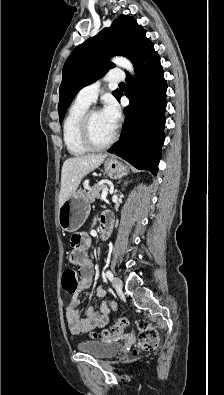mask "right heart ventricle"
I'll return each mask as SVG.
<instances>
[{"instance_id": "obj_1", "label": "right heart ventricle", "mask_w": 224, "mask_h": 395, "mask_svg": "<svg viewBox=\"0 0 224 395\" xmlns=\"http://www.w3.org/2000/svg\"><path fill=\"white\" fill-rule=\"evenodd\" d=\"M89 108V104L76 99L70 106L63 123V138L68 152L73 156H82L88 149L80 138V122Z\"/></svg>"}]
</instances>
